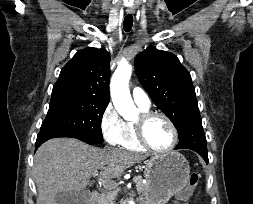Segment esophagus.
<instances>
[{"mask_svg": "<svg viewBox=\"0 0 253 204\" xmlns=\"http://www.w3.org/2000/svg\"><path fill=\"white\" fill-rule=\"evenodd\" d=\"M126 11H127L128 14H133L134 13V9L132 7L127 8Z\"/></svg>", "mask_w": 253, "mask_h": 204, "instance_id": "34e87169", "label": "esophagus"}]
</instances>
